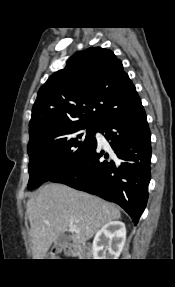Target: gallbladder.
Wrapping results in <instances>:
<instances>
[{
	"instance_id": "obj_1",
	"label": "gallbladder",
	"mask_w": 175,
	"mask_h": 287,
	"mask_svg": "<svg viewBox=\"0 0 175 287\" xmlns=\"http://www.w3.org/2000/svg\"><path fill=\"white\" fill-rule=\"evenodd\" d=\"M70 240H71V236L69 234H66V233L60 234L54 242V248L61 247L67 244Z\"/></svg>"
}]
</instances>
